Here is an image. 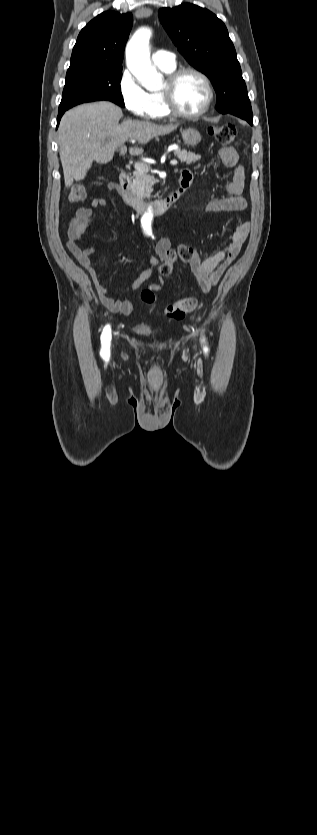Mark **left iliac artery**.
<instances>
[{
  "label": "left iliac artery",
  "instance_id": "obj_1",
  "mask_svg": "<svg viewBox=\"0 0 317 835\" xmlns=\"http://www.w3.org/2000/svg\"><path fill=\"white\" fill-rule=\"evenodd\" d=\"M204 351H205V353H207V352H208V348H207V347H205V348H204Z\"/></svg>",
  "mask_w": 317,
  "mask_h": 835
}]
</instances>
